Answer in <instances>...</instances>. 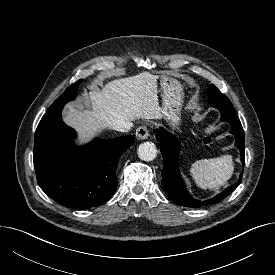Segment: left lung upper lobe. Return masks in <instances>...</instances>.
<instances>
[{
	"instance_id": "left-lung-upper-lobe-1",
	"label": "left lung upper lobe",
	"mask_w": 275,
	"mask_h": 275,
	"mask_svg": "<svg viewBox=\"0 0 275 275\" xmlns=\"http://www.w3.org/2000/svg\"><path fill=\"white\" fill-rule=\"evenodd\" d=\"M209 102L213 107L220 110L222 121L239 120L230 100L213 84L209 87ZM228 109L231 112H228Z\"/></svg>"
}]
</instances>
